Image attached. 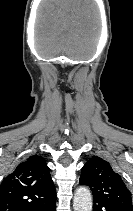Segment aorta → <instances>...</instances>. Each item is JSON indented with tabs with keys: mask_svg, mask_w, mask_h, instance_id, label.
Masks as SVG:
<instances>
[{
	"mask_svg": "<svg viewBox=\"0 0 133 211\" xmlns=\"http://www.w3.org/2000/svg\"><path fill=\"white\" fill-rule=\"evenodd\" d=\"M74 211H92V196L88 188L79 187L73 198Z\"/></svg>",
	"mask_w": 133,
	"mask_h": 211,
	"instance_id": "762f6f07",
	"label": "aorta"
}]
</instances>
